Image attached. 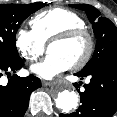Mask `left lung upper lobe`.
I'll return each instance as SVG.
<instances>
[{"instance_id":"5c2ea615","label":"left lung upper lobe","mask_w":117,"mask_h":117,"mask_svg":"<svg viewBox=\"0 0 117 117\" xmlns=\"http://www.w3.org/2000/svg\"><path fill=\"white\" fill-rule=\"evenodd\" d=\"M70 6L86 12L97 39L91 60L78 72L86 74L110 58L117 56V28L109 19L100 16L99 10L91 5L77 4Z\"/></svg>"}]
</instances>
